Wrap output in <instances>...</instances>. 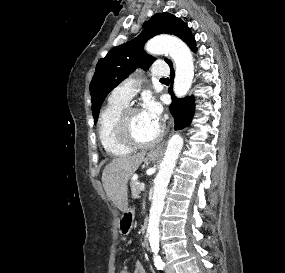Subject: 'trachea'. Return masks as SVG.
<instances>
[{
  "label": "trachea",
  "mask_w": 285,
  "mask_h": 273,
  "mask_svg": "<svg viewBox=\"0 0 285 273\" xmlns=\"http://www.w3.org/2000/svg\"><path fill=\"white\" fill-rule=\"evenodd\" d=\"M160 80L162 81V80H169V79L168 78H161Z\"/></svg>",
  "instance_id": "obj_1"
}]
</instances>
